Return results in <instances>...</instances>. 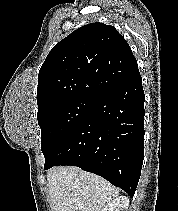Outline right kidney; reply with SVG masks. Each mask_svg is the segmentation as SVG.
Wrapping results in <instances>:
<instances>
[{
  "mask_svg": "<svg viewBox=\"0 0 178 211\" xmlns=\"http://www.w3.org/2000/svg\"><path fill=\"white\" fill-rule=\"evenodd\" d=\"M128 206L129 198L126 196H119L104 206L101 211H127Z\"/></svg>",
  "mask_w": 178,
  "mask_h": 211,
  "instance_id": "ca27d5eb",
  "label": "right kidney"
}]
</instances>
